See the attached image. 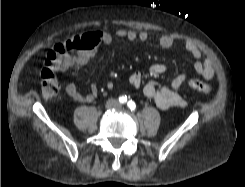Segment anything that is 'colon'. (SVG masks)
Listing matches in <instances>:
<instances>
[{"mask_svg": "<svg viewBox=\"0 0 245 187\" xmlns=\"http://www.w3.org/2000/svg\"><path fill=\"white\" fill-rule=\"evenodd\" d=\"M87 49L85 35H73L59 43L51 50V58L45 60L44 67L41 70V89L43 96L47 99H54L59 92V82L57 79L58 63L71 55L73 51H82ZM188 86L196 91L209 94L213 87L199 79H190Z\"/></svg>", "mask_w": 245, "mask_h": 187, "instance_id": "5ec220e1", "label": "colon"}]
</instances>
